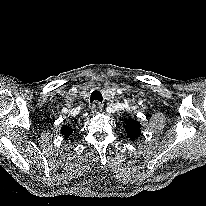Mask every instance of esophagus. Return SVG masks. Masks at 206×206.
I'll return each instance as SVG.
<instances>
[{
	"label": "esophagus",
	"instance_id": "obj_1",
	"mask_svg": "<svg viewBox=\"0 0 206 206\" xmlns=\"http://www.w3.org/2000/svg\"><path fill=\"white\" fill-rule=\"evenodd\" d=\"M92 114H99L102 112V105L99 102H95L91 108Z\"/></svg>",
	"mask_w": 206,
	"mask_h": 206
}]
</instances>
